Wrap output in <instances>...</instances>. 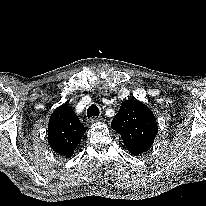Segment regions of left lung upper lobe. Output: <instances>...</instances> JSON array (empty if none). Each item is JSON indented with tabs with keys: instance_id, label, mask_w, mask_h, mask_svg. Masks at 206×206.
<instances>
[{
	"instance_id": "5c2ea615",
	"label": "left lung upper lobe",
	"mask_w": 206,
	"mask_h": 206,
	"mask_svg": "<svg viewBox=\"0 0 206 206\" xmlns=\"http://www.w3.org/2000/svg\"><path fill=\"white\" fill-rule=\"evenodd\" d=\"M111 127L121 138L131 154L146 152L158 132L156 118L142 102L129 99L122 102Z\"/></svg>"
}]
</instances>
